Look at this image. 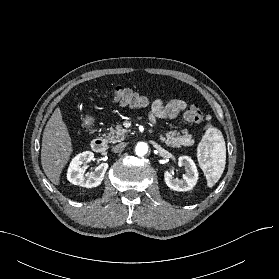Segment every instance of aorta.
I'll use <instances>...</instances> for the list:
<instances>
[{"label": "aorta", "mask_w": 279, "mask_h": 279, "mask_svg": "<svg viewBox=\"0 0 279 279\" xmlns=\"http://www.w3.org/2000/svg\"><path fill=\"white\" fill-rule=\"evenodd\" d=\"M135 152L138 156H144L148 152V145L144 142L137 143Z\"/></svg>", "instance_id": "1"}]
</instances>
